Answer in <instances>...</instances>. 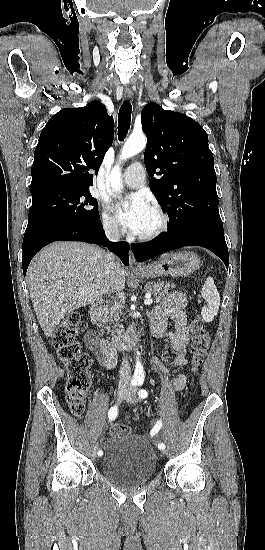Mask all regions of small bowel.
Wrapping results in <instances>:
<instances>
[{
    "label": "small bowel",
    "instance_id": "small-bowel-1",
    "mask_svg": "<svg viewBox=\"0 0 265 550\" xmlns=\"http://www.w3.org/2000/svg\"><path fill=\"white\" fill-rule=\"evenodd\" d=\"M186 297L181 292H172L155 306L151 312V332L156 337L162 338L173 348V362L176 367L186 366L188 359L186 349L189 342L187 318L184 313ZM172 319L174 326H168V320ZM85 345L97 356L99 363L106 369H113L117 362L115 350L106 346L93 332L86 333ZM157 371L165 374L164 366L156 359L152 360ZM187 384L185 374H178L173 380V387L181 391Z\"/></svg>",
    "mask_w": 265,
    "mask_h": 550
}]
</instances>
